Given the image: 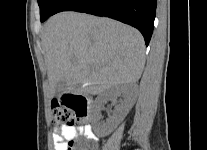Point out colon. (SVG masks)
<instances>
[{
  "instance_id": "5ec220e1",
  "label": "colon",
  "mask_w": 207,
  "mask_h": 150,
  "mask_svg": "<svg viewBox=\"0 0 207 150\" xmlns=\"http://www.w3.org/2000/svg\"><path fill=\"white\" fill-rule=\"evenodd\" d=\"M68 100L53 99L51 101V119L54 125H74L83 121L87 116V100H82L74 95H67ZM72 109L69 110L68 106ZM66 150H87L80 144L70 141Z\"/></svg>"
}]
</instances>
